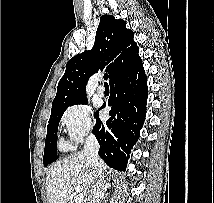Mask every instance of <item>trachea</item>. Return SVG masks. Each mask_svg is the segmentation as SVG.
I'll return each mask as SVG.
<instances>
[{"instance_id":"1","label":"trachea","mask_w":214,"mask_h":203,"mask_svg":"<svg viewBox=\"0 0 214 203\" xmlns=\"http://www.w3.org/2000/svg\"><path fill=\"white\" fill-rule=\"evenodd\" d=\"M107 79H108V75L107 74H104V80H105V86H108V83L106 82L107 81Z\"/></svg>"}]
</instances>
